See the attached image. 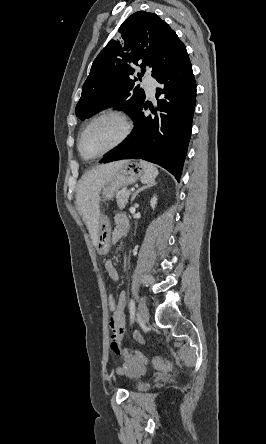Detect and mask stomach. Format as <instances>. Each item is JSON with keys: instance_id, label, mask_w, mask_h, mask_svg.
<instances>
[{"instance_id": "1", "label": "stomach", "mask_w": 266, "mask_h": 444, "mask_svg": "<svg viewBox=\"0 0 266 444\" xmlns=\"http://www.w3.org/2000/svg\"><path fill=\"white\" fill-rule=\"evenodd\" d=\"M145 172L141 165L137 162L127 161L120 166L112 178L102 188L101 199L103 201L112 199L116 192L124 187L131 185L142 179ZM110 235V223L103 214L99 216L98 223V242L97 246L101 252H105L106 246L103 240H108ZM102 244V246H101Z\"/></svg>"}]
</instances>
